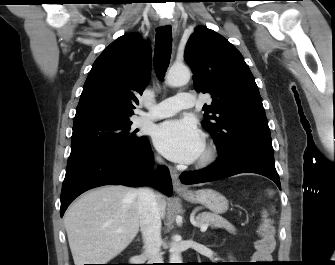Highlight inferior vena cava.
I'll list each match as a JSON object with an SVG mask.
<instances>
[{"label": "inferior vena cava", "mask_w": 335, "mask_h": 265, "mask_svg": "<svg viewBox=\"0 0 335 265\" xmlns=\"http://www.w3.org/2000/svg\"><path fill=\"white\" fill-rule=\"evenodd\" d=\"M138 207L144 255L151 263H162L161 216L153 190L149 188L138 190Z\"/></svg>", "instance_id": "obj_1"}]
</instances>
